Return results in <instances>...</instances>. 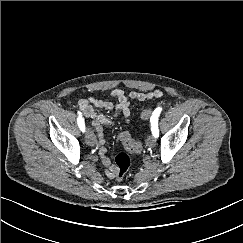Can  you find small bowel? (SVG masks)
Masks as SVG:
<instances>
[{
  "label": "small bowel",
  "mask_w": 243,
  "mask_h": 243,
  "mask_svg": "<svg viewBox=\"0 0 243 243\" xmlns=\"http://www.w3.org/2000/svg\"><path fill=\"white\" fill-rule=\"evenodd\" d=\"M111 96L117 100V104L111 101L103 100L95 97L83 98L78 101V106L86 118L92 119L99 142V156L101 162L105 166V173L108 178H114V168L111 160L106 155L107 147L103 135V126L111 127L115 125L113 117H122L125 121H130V101H146L160 98L162 92L160 90H152L147 92L130 91L125 92L121 89L111 91ZM98 110H108L112 117L103 115Z\"/></svg>",
  "instance_id": "small-bowel-1"
}]
</instances>
